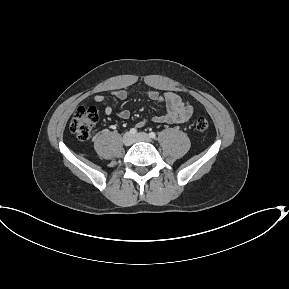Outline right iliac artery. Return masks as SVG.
Returning <instances> with one entry per match:
<instances>
[{
  "label": "right iliac artery",
  "mask_w": 289,
  "mask_h": 289,
  "mask_svg": "<svg viewBox=\"0 0 289 289\" xmlns=\"http://www.w3.org/2000/svg\"><path fill=\"white\" fill-rule=\"evenodd\" d=\"M129 133H130L131 135H135V134L137 133V130H136L135 128H131L130 131H129Z\"/></svg>",
  "instance_id": "1"
}]
</instances>
